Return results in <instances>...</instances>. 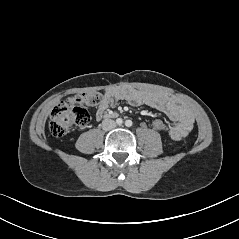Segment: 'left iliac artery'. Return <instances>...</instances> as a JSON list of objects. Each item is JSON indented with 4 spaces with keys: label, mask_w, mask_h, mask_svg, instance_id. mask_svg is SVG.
Returning a JSON list of instances; mask_svg holds the SVG:
<instances>
[{
    "label": "left iliac artery",
    "mask_w": 239,
    "mask_h": 239,
    "mask_svg": "<svg viewBox=\"0 0 239 239\" xmlns=\"http://www.w3.org/2000/svg\"><path fill=\"white\" fill-rule=\"evenodd\" d=\"M132 124H133V122H132L131 120H126V122H125V125H126L127 127H131Z\"/></svg>",
    "instance_id": "obj_1"
}]
</instances>
